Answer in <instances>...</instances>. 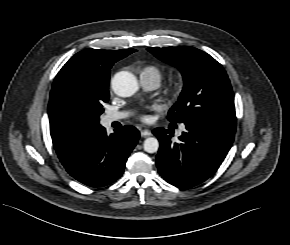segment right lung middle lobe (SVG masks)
<instances>
[{
    "mask_svg": "<svg viewBox=\"0 0 290 245\" xmlns=\"http://www.w3.org/2000/svg\"><path fill=\"white\" fill-rule=\"evenodd\" d=\"M109 78V69L103 73H74L66 79L64 92L83 112L99 122V117L104 111L103 104L109 98Z\"/></svg>",
    "mask_w": 290,
    "mask_h": 245,
    "instance_id": "1",
    "label": "right lung middle lobe"
}]
</instances>
